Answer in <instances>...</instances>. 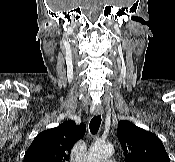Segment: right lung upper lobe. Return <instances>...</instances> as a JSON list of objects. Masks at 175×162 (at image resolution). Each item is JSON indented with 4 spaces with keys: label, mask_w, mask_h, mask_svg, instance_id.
Wrapping results in <instances>:
<instances>
[{
    "label": "right lung upper lobe",
    "mask_w": 175,
    "mask_h": 162,
    "mask_svg": "<svg viewBox=\"0 0 175 162\" xmlns=\"http://www.w3.org/2000/svg\"><path fill=\"white\" fill-rule=\"evenodd\" d=\"M84 124L66 121L39 133L24 155L23 162H67L73 145L83 138Z\"/></svg>",
    "instance_id": "1"
}]
</instances>
